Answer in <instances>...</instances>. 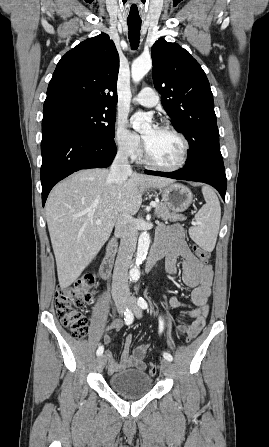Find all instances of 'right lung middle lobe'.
<instances>
[{"label": "right lung middle lobe", "instance_id": "dd1d6c3e", "mask_svg": "<svg viewBox=\"0 0 269 447\" xmlns=\"http://www.w3.org/2000/svg\"><path fill=\"white\" fill-rule=\"evenodd\" d=\"M48 115L65 116L82 130L102 138H114V108L98 106H64L51 111Z\"/></svg>", "mask_w": 269, "mask_h": 447}]
</instances>
